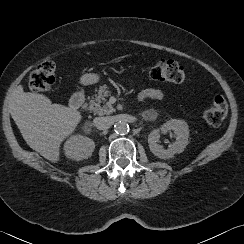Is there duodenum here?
I'll list each match as a JSON object with an SVG mask.
<instances>
[{"label": "duodenum", "instance_id": "410a0bca", "mask_svg": "<svg viewBox=\"0 0 244 244\" xmlns=\"http://www.w3.org/2000/svg\"><path fill=\"white\" fill-rule=\"evenodd\" d=\"M86 105L87 104L85 102V91L84 90L76 91L70 98L69 106L71 109L77 110Z\"/></svg>", "mask_w": 244, "mask_h": 244}]
</instances>
